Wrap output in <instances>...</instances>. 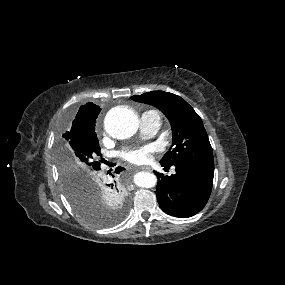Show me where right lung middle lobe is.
I'll return each mask as SVG.
<instances>
[{"mask_svg": "<svg viewBox=\"0 0 285 285\" xmlns=\"http://www.w3.org/2000/svg\"><path fill=\"white\" fill-rule=\"evenodd\" d=\"M98 156L101 154L96 133L73 138L63 137L58 141L57 166L69 203L88 223L97 227H108L120 215L111 213L101 196L104 194L107 200L113 197L114 203L122 210L126 198L119 192L115 180L101 181V161H97ZM111 182L112 188L107 186Z\"/></svg>", "mask_w": 285, "mask_h": 285, "instance_id": "1", "label": "right lung middle lobe"}]
</instances>
